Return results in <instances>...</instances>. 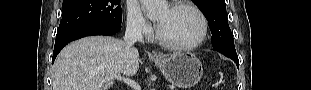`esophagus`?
<instances>
[{
  "mask_svg": "<svg viewBox=\"0 0 311 90\" xmlns=\"http://www.w3.org/2000/svg\"><path fill=\"white\" fill-rule=\"evenodd\" d=\"M153 57H154V58H160V57H161V54H160L159 52H157V51H154V52H153Z\"/></svg>",
  "mask_w": 311,
  "mask_h": 90,
  "instance_id": "obj_1",
  "label": "esophagus"
}]
</instances>
